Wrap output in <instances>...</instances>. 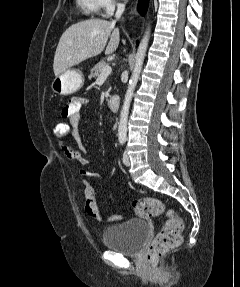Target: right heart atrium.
<instances>
[{"instance_id":"1","label":"right heart atrium","mask_w":240,"mask_h":287,"mask_svg":"<svg viewBox=\"0 0 240 287\" xmlns=\"http://www.w3.org/2000/svg\"><path fill=\"white\" fill-rule=\"evenodd\" d=\"M104 14H110L115 8L120 6L119 0H99Z\"/></svg>"}]
</instances>
